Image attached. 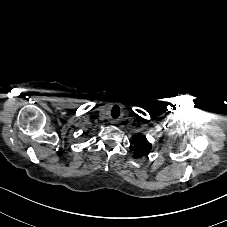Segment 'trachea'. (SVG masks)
Masks as SVG:
<instances>
[{
  "label": "trachea",
  "mask_w": 227,
  "mask_h": 227,
  "mask_svg": "<svg viewBox=\"0 0 227 227\" xmlns=\"http://www.w3.org/2000/svg\"><path fill=\"white\" fill-rule=\"evenodd\" d=\"M119 115H120V109H119V108H117V109H112V111H111V116H112L114 119L118 118Z\"/></svg>",
  "instance_id": "1"
}]
</instances>
